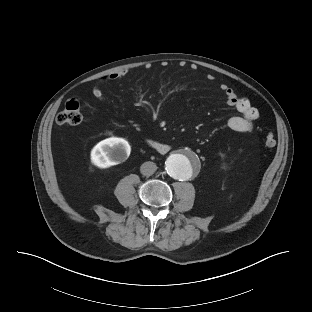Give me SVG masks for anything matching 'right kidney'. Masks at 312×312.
I'll return each instance as SVG.
<instances>
[{"instance_id":"obj_1","label":"right kidney","mask_w":312,"mask_h":312,"mask_svg":"<svg viewBox=\"0 0 312 312\" xmlns=\"http://www.w3.org/2000/svg\"><path fill=\"white\" fill-rule=\"evenodd\" d=\"M131 147L123 138H107L91 151V162L99 168H108L112 165L124 162L130 155Z\"/></svg>"}]
</instances>
